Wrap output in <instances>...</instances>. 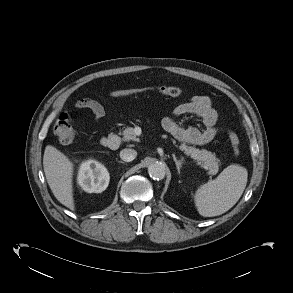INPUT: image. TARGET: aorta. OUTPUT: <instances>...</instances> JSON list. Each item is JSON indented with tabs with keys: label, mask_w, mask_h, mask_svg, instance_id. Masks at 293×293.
<instances>
[{
	"label": "aorta",
	"mask_w": 293,
	"mask_h": 293,
	"mask_svg": "<svg viewBox=\"0 0 293 293\" xmlns=\"http://www.w3.org/2000/svg\"><path fill=\"white\" fill-rule=\"evenodd\" d=\"M148 174L154 180H162L165 177V166L162 163L154 162L148 167Z\"/></svg>",
	"instance_id": "obj_1"
}]
</instances>
